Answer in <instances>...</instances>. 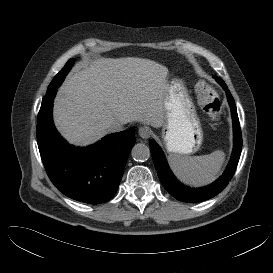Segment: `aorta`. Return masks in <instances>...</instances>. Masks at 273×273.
<instances>
[{
	"label": "aorta",
	"instance_id": "aorta-1",
	"mask_svg": "<svg viewBox=\"0 0 273 273\" xmlns=\"http://www.w3.org/2000/svg\"><path fill=\"white\" fill-rule=\"evenodd\" d=\"M131 155L135 161L144 162L150 157V149L147 145L138 143L132 148Z\"/></svg>",
	"mask_w": 273,
	"mask_h": 273
}]
</instances>
